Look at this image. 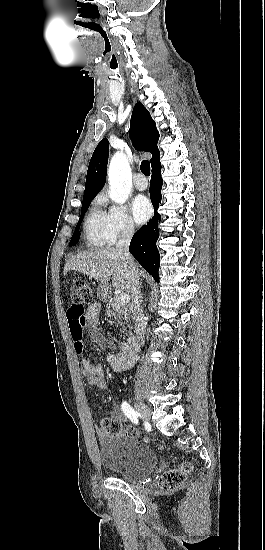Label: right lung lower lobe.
Instances as JSON below:
<instances>
[{"instance_id":"obj_1","label":"right lung lower lobe","mask_w":265,"mask_h":550,"mask_svg":"<svg viewBox=\"0 0 265 550\" xmlns=\"http://www.w3.org/2000/svg\"><path fill=\"white\" fill-rule=\"evenodd\" d=\"M162 184L161 163L158 161L154 166H152V177L150 182V198L155 214L150 222L141 227L134 234L129 247L130 253L158 282L159 253L157 250L156 241L159 237L158 221H160L161 216L157 213L156 209L161 201Z\"/></svg>"}]
</instances>
